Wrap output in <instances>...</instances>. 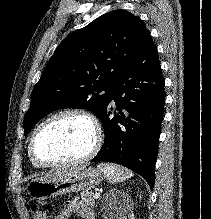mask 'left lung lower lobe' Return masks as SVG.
<instances>
[{
  "instance_id": "obj_1",
  "label": "left lung lower lobe",
  "mask_w": 211,
  "mask_h": 219,
  "mask_svg": "<svg viewBox=\"0 0 211 219\" xmlns=\"http://www.w3.org/2000/svg\"><path fill=\"white\" fill-rule=\"evenodd\" d=\"M164 86L157 48L149 37L110 90L107 107L99 117L105 133L104 144L91 160L126 166L140 174L151 190L164 113ZM111 100L119 111L114 112L113 118L108 108Z\"/></svg>"
}]
</instances>
